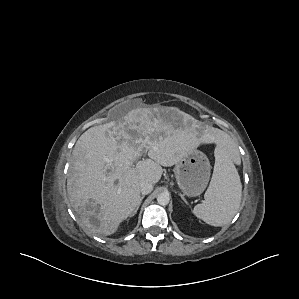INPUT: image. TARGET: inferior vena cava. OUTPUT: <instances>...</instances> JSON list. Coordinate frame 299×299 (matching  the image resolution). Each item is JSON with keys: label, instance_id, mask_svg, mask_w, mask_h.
Masks as SVG:
<instances>
[{"label": "inferior vena cava", "instance_id": "602c4592", "mask_svg": "<svg viewBox=\"0 0 299 299\" xmlns=\"http://www.w3.org/2000/svg\"><path fill=\"white\" fill-rule=\"evenodd\" d=\"M152 190H153V185L151 183H149L147 181L140 182V192L143 195L151 193Z\"/></svg>", "mask_w": 299, "mask_h": 299}]
</instances>
